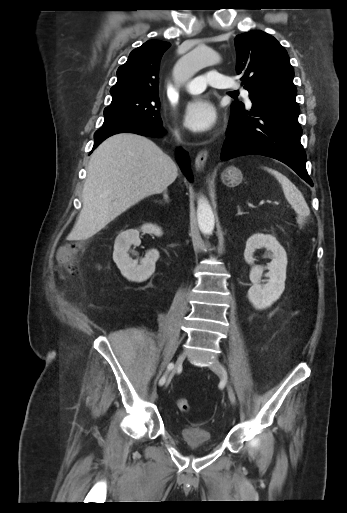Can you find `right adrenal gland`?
Wrapping results in <instances>:
<instances>
[{
	"label": "right adrenal gland",
	"instance_id": "right-adrenal-gland-1",
	"mask_svg": "<svg viewBox=\"0 0 347 513\" xmlns=\"http://www.w3.org/2000/svg\"><path fill=\"white\" fill-rule=\"evenodd\" d=\"M169 202V197H168V191L167 190H164V193H163V200H160L159 203H163V204H166Z\"/></svg>",
	"mask_w": 347,
	"mask_h": 513
}]
</instances>
